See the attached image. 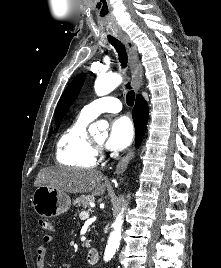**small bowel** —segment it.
Returning <instances> with one entry per match:
<instances>
[{"label":"small bowel","instance_id":"1","mask_svg":"<svg viewBox=\"0 0 221 268\" xmlns=\"http://www.w3.org/2000/svg\"><path fill=\"white\" fill-rule=\"evenodd\" d=\"M53 231L54 228L43 235L42 242L37 248L36 263L38 268L46 266L47 247L54 240Z\"/></svg>","mask_w":221,"mask_h":268}]
</instances>
